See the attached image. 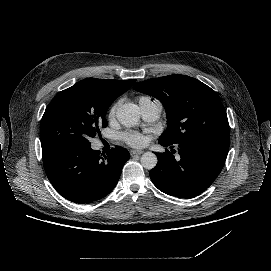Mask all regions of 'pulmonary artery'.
<instances>
[{
	"mask_svg": "<svg viewBox=\"0 0 271 271\" xmlns=\"http://www.w3.org/2000/svg\"><path fill=\"white\" fill-rule=\"evenodd\" d=\"M140 107L144 120L148 122H154L159 117L161 111V104L159 101H143L140 103ZM99 147V144L94 145L95 149H99Z\"/></svg>",
	"mask_w": 271,
	"mask_h": 271,
	"instance_id": "1",
	"label": "pulmonary artery"
}]
</instances>
